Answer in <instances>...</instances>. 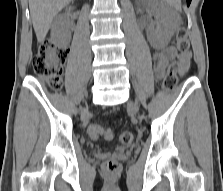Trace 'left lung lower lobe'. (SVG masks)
<instances>
[{
    "mask_svg": "<svg viewBox=\"0 0 223 191\" xmlns=\"http://www.w3.org/2000/svg\"><path fill=\"white\" fill-rule=\"evenodd\" d=\"M191 0H187L188 5H190Z\"/></svg>",
    "mask_w": 223,
    "mask_h": 191,
    "instance_id": "1",
    "label": "left lung lower lobe"
}]
</instances>
